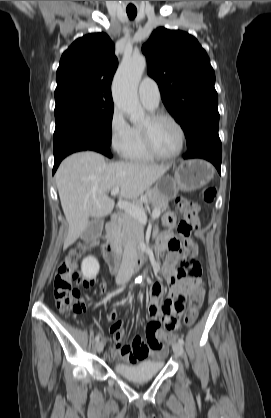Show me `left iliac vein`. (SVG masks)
<instances>
[{"instance_id":"4c4485c4","label":"left iliac vein","mask_w":271,"mask_h":418,"mask_svg":"<svg viewBox=\"0 0 271 418\" xmlns=\"http://www.w3.org/2000/svg\"><path fill=\"white\" fill-rule=\"evenodd\" d=\"M172 349L177 356L182 357L184 355L183 346L179 342L173 343Z\"/></svg>"}]
</instances>
